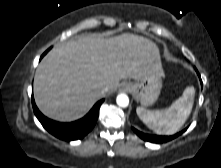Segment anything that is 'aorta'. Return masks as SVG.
Here are the masks:
<instances>
[{"mask_svg": "<svg viewBox=\"0 0 221 168\" xmlns=\"http://www.w3.org/2000/svg\"><path fill=\"white\" fill-rule=\"evenodd\" d=\"M116 102L120 107H127L129 105V98L126 94L121 93L117 96Z\"/></svg>", "mask_w": 221, "mask_h": 168, "instance_id": "aorta-1", "label": "aorta"}]
</instances>
